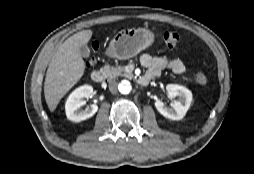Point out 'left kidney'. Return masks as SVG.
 I'll return each mask as SVG.
<instances>
[{
	"instance_id": "left-kidney-1",
	"label": "left kidney",
	"mask_w": 254,
	"mask_h": 174,
	"mask_svg": "<svg viewBox=\"0 0 254 174\" xmlns=\"http://www.w3.org/2000/svg\"><path fill=\"white\" fill-rule=\"evenodd\" d=\"M168 96L173 99L170 106L162 101L156 100L155 107L160 114L171 120H181L188 111L192 102V93L189 89L178 84H168L166 86ZM178 98V100L174 98Z\"/></svg>"
}]
</instances>
